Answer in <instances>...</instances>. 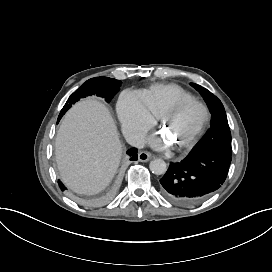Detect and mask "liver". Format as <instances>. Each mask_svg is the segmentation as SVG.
I'll use <instances>...</instances> for the list:
<instances>
[{
	"mask_svg": "<svg viewBox=\"0 0 272 272\" xmlns=\"http://www.w3.org/2000/svg\"><path fill=\"white\" fill-rule=\"evenodd\" d=\"M121 155L117 126L106 105L94 98L73 105L55 141L63 183L78 194H98L117 173Z\"/></svg>",
	"mask_w": 272,
	"mask_h": 272,
	"instance_id": "6515ba94",
	"label": "liver"
}]
</instances>
